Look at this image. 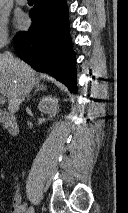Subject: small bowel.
<instances>
[{"mask_svg":"<svg viewBox=\"0 0 128 213\" xmlns=\"http://www.w3.org/2000/svg\"><path fill=\"white\" fill-rule=\"evenodd\" d=\"M25 211V207L22 204V198L16 187V191L14 193L12 204H11V213H23Z\"/></svg>","mask_w":128,"mask_h":213,"instance_id":"1","label":"small bowel"}]
</instances>
